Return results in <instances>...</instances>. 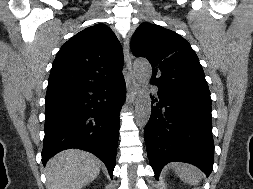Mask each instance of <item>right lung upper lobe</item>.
<instances>
[{"label":"right lung upper lobe","mask_w":253,"mask_h":189,"mask_svg":"<svg viewBox=\"0 0 253 189\" xmlns=\"http://www.w3.org/2000/svg\"><path fill=\"white\" fill-rule=\"evenodd\" d=\"M123 50L110 28L99 23L62 45L53 62L47 90L96 85L122 75Z\"/></svg>","instance_id":"1"}]
</instances>
